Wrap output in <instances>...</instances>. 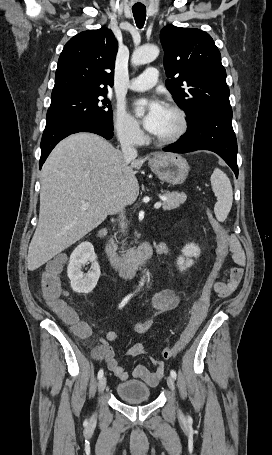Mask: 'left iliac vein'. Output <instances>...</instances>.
<instances>
[{"label":"left iliac vein","instance_id":"1","mask_svg":"<svg viewBox=\"0 0 272 455\" xmlns=\"http://www.w3.org/2000/svg\"><path fill=\"white\" fill-rule=\"evenodd\" d=\"M167 384H168V387L174 391L175 390V383H174V379L172 376H168L167 377Z\"/></svg>","mask_w":272,"mask_h":455}]
</instances>
